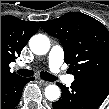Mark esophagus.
Masks as SVG:
<instances>
[{
	"label": "esophagus",
	"instance_id": "1",
	"mask_svg": "<svg viewBox=\"0 0 109 109\" xmlns=\"http://www.w3.org/2000/svg\"><path fill=\"white\" fill-rule=\"evenodd\" d=\"M40 82H41L44 86H47V85L51 84L50 82L45 81V80H42V79H40Z\"/></svg>",
	"mask_w": 109,
	"mask_h": 109
}]
</instances>
